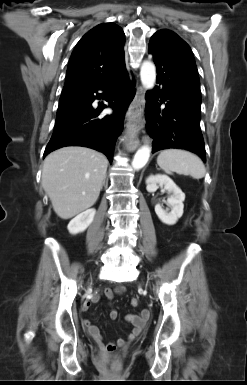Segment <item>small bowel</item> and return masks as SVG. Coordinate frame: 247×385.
I'll return each instance as SVG.
<instances>
[{
    "label": "small bowel",
    "instance_id": "small-bowel-1",
    "mask_svg": "<svg viewBox=\"0 0 247 385\" xmlns=\"http://www.w3.org/2000/svg\"><path fill=\"white\" fill-rule=\"evenodd\" d=\"M108 299H112L113 291L110 289H104L102 292ZM100 298V294L93 295L90 299L85 301L82 305V310L85 311L89 308L92 303H96ZM111 319H116L118 317V312L115 309H112L109 313ZM150 317L149 310H142L138 314H127L125 319L128 323L133 326L132 331L126 336V338H120L114 343L105 344L103 341L102 334L97 326H95L90 320L83 319L82 324L87 330L89 335L94 339V341L102 348L107 349L108 345L123 347L128 342L134 340L137 336L140 335L143 328L145 327L148 319Z\"/></svg>",
    "mask_w": 247,
    "mask_h": 385
}]
</instances>
